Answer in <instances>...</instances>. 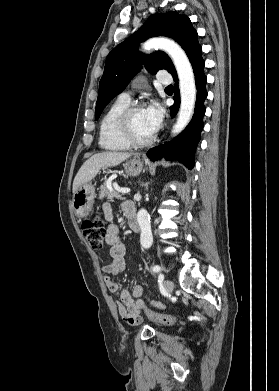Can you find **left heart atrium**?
Listing matches in <instances>:
<instances>
[{"mask_svg": "<svg viewBox=\"0 0 279 391\" xmlns=\"http://www.w3.org/2000/svg\"><path fill=\"white\" fill-rule=\"evenodd\" d=\"M146 114L151 121L154 129H157L162 120V109L157 103H152L146 108Z\"/></svg>", "mask_w": 279, "mask_h": 391, "instance_id": "39dd6f15", "label": "left heart atrium"}]
</instances>
